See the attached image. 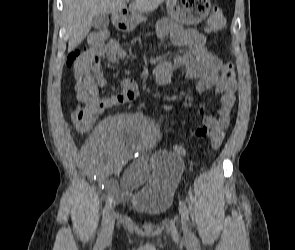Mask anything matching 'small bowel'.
Listing matches in <instances>:
<instances>
[{"instance_id":"1","label":"small bowel","mask_w":295,"mask_h":250,"mask_svg":"<svg viewBox=\"0 0 295 250\" xmlns=\"http://www.w3.org/2000/svg\"><path fill=\"white\" fill-rule=\"evenodd\" d=\"M157 32L160 37H170L175 45L185 49L173 61H161L155 66L157 82L169 84L176 70L185 69L187 77L197 80L198 94L214 89L221 96L216 116L206 115L203 107L199 106L202 125L195 129L198 139L209 138L212 148L218 149L230 124L237 89L235 79L223 78V62L207 49L206 37L202 33L183 28L168 19L158 23ZM126 56V52L115 41L91 46L82 59L70 54L67 65L74 70L77 100L95 106L99 114L113 106L133 101L138 90L135 82L130 79L121 82V92L105 98L99 96V88L106 83L101 72V61L115 62ZM157 138V128L142 114L115 115L101 123L86 144L88 172L118 197L126 199L132 190L141 186L149 177L150 162L145 153L154 147ZM173 152L183 155L184 149L174 146ZM129 159H133V162L117 184L111 174L117 165Z\"/></svg>"}]
</instances>
